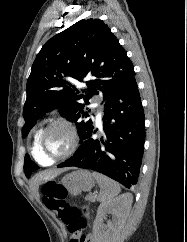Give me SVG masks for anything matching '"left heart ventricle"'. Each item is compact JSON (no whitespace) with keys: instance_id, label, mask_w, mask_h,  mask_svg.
Here are the masks:
<instances>
[{"instance_id":"1","label":"left heart ventricle","mask_w":187,"mask_h":242,"mask_svg":"<svg viewBox=\"0 0 187 242\" xmlns=\"http://www.w3.org/2000/svg\"><path fill=\"white\" fill-rule=\"evenodd\" d=\"M70 146V135L66 128L53 127L43 141L45 152L51 156H57L67 151Z\"/></svg>"}]
</instances>
